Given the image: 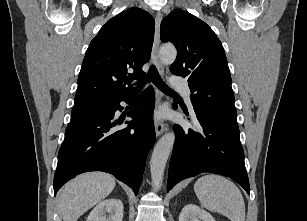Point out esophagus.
<instances>
[{"mask_svg":"<svg viewBox=\"0 0 307 221\" xmlns=\"http://www.w3.org/2000/svg\"><path fill=\"white\" fill-rule=\"evenodd\" d=\"M162 21V14L158 12L155 17V34H154V42L152 48V60L156 65L158 71L161 74H164V67L159 60V46H160V25ZM157 104H159L163 98V94L157 90L156 91ZM156 136H160L166 129L165 123L158 117L155 118L154 121Z\"/></svg>","mask_w":307,"mask_h":221,"instance_id":"obj_1","label":"esophagus"}]
</instances>
